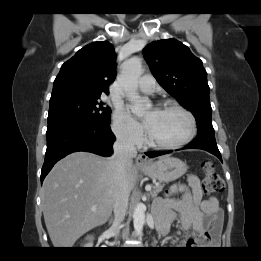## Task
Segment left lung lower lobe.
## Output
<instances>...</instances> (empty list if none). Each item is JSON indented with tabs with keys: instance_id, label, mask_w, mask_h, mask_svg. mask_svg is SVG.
Wrapping results in <instances>:
<instances>
[{
	"instance_id": "left-lung-lower-lobe-1",
	"label": "left lung lower lobe",
	"mask_w": 261,
	"mask_h": 261,
	"mask_svg": "<svg viewBox=\"0 0 261 261\" xmlns=\"http://www.w3.org/2000/svg\"><path fill=\"white\" fill-rule=\"evenodd\" d=\"M183 149H202L212 153L222 162L221 154L218 150L214 133L198 134L196 138L191 143L186 145ZM170 152L172 151L146 152L145 154L148 157L153 158Z\"/></svg>"
}]
</instances>
